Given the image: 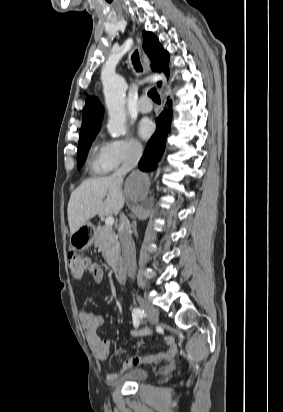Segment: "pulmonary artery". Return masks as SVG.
<instances>
[{"label":"pulmonary artery","mask_w":283,"mask_h":412,"mask_svg":"<svg viewBox=\"0 0 283 412\" xmlns=\"http://www.w3.org/2000/svg\"><path fill=\"white\" fill-rule=\"evenodd\" d=\"M137 108H138V111L141 113H148L151 111L152 105L150 104L146 96H142L139 99Z\"/></svg>","instance_id":"pulmonary-artery-1"}]
</instances>
